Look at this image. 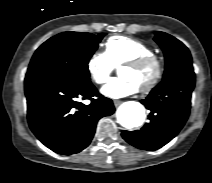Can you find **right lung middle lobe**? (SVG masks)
<instances>
[{"mask_svg": "<svg viewBox=\"0 0 212 183\" xmlns=\"http://www.w3.org/2000/svg\"><path fill=\"white\" fill-rule=\"evenodd\" d=\"M105 35L64 32L48 39L34 53L26 76L89 78V59Z\"/></svg>", "mask_w": 212, "mask_h": 183, "instance_id": "right-lung-middle-lobe-1", "label": "right lung middle lobe"}]
</instances>
